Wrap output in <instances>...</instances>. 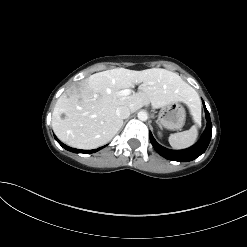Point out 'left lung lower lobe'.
Listing matches in <instances>:
<instances>
[{"instance_id":"1","label":"left lung lower lobe","mask_w":247,"mask_h":247,"mask_svg":"<svg viewBox=\"0 0 247 247\" xmlns=\"http://www.w3.org/2000/svg\"><path fill=\"white\" fill-rule=\"evenodd\" d=\"M204 108L207 118V126L201 139L195 145L184 150H170L159 145L156 142V140L153 138L152 133L150 132L149 133L150 141L156 152L159 153L161 156L165 157L166 159L172 161H178V162L192 161L197 157H199L201 154H203L207 149L212 136V124H211L209 112L206 109L205 104H204Z\"/></svg>"}]
</instances>
